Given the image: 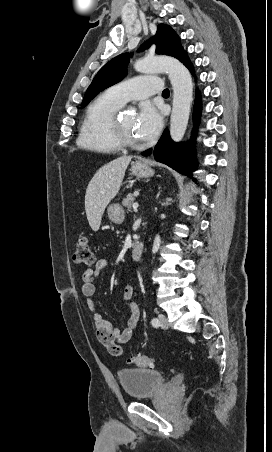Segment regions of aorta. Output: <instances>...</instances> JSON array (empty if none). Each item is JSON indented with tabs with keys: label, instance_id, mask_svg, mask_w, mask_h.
I'll list each match as a JSON object with an SVG mask.
<instances>
[{
	"label": "aorta",
	"instance_id": "1",
	"mask_svg": "<svg viewBox=\"0 0 272 452\" xmlns=\"http://www.w3.org/2000/svg\"><path fill=\"white\" fill-rule=\"evenodd\" d=\"M134 68L140 73H168L173 87L170 136L175 142L181 141L188 125L193 99V82L189 70L179 60L167 56L138 60Z\"/></svg>",
	"mask_w": 272,
	"mask_h": 452
}]
</instances>
